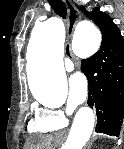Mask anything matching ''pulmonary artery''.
I'll use <instances>...</instances> for the list:
<instances>
[{"label": "pulmonary artery", "mask_w": 124, "mask_h": 149, "mask_svg": "<svg viewBox=\"0 0 124 149\" xmlns=\"http://www.w3.org/2000/svg\"><path fill=\"white\" fill-rule=\"evenodd\" d=\"M64 66L67 71H72L74 69V65L69 58H66L64 61Z\"/></svg>", "instance_id": "e3ab8cb5"}]
</instances>
